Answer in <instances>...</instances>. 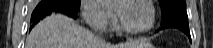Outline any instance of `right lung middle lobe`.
<instances>
[{
  "mask_svg": "<svg viewBox=\"0 0 213 48\" xmlns=\"http://www.w3.org/2000/svg\"><path fill=\"white\" fill-rule=\"evenodd\" d=\"M67 2L69 5L73 6L75 9L79 10L80 9V0H64Z\"/></svg>",
  "mask_w": 213,
  "mask_h": 48,
  "instance_id": "dd1d6c3e",
  "label": "right lung middle lobe"
}]
</instances>
